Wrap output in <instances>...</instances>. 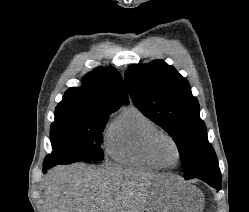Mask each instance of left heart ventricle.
<instances>
[{
	"label": "left heart ventricle",
	"instance_id": "left-heart-ventricle-1",
	"mask_svg": "<svg viewBox=\"0 0 249 212\" xmlns=\"http://www.w3.org/2000/svg\"><path fill=\"white\" fill-rule=\"evenodd\" d=\"M158 153L161 159L166 163L174 164L177 161L176 150L168 140L159 142Z\"/></svg>",
	"mask_w": 249,
	"mask_h": 212
}]
</instances>
